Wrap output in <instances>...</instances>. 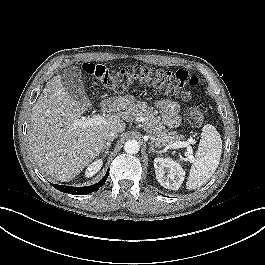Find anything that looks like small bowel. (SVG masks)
I'll return each mask as SVG.
<instances>
[{"label": "small bowel", "mask_w": 265, "mask_h": 265, "mask_svg": "<svg viewBox=\"0 0 265 265\" xmlns=\"http://www.w3.org/2000/svg\"><path fill=\"white\" fill-rule=\"evenodd\" d=\"M157 105L161 109L163 122L169 128L178 127L181 122L179 104L170 99H162L157 101Z\"/></svg>", "instance_id": "1"}]
</instances>
